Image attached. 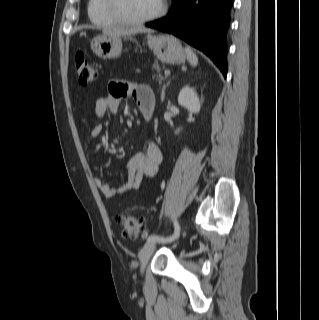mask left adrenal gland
Returning <instances> with one entry per match:
<instances>
[{
    "mask_svg": "<svg viewBox=\"0 0 319 320\" xmlns=\"http://www.w3.org/2000/svg\"><path fill=\"white\" fill-rule=\"evenodd\" d=\"M167 85H169V82L166 85H163V88H162V94H161V100L162 101L164 100V97H165V88H166Z\"/></svg>",
    "mask_w": 319,
    "mask_h": 320,
    "instance_id": "left-adrenal-gland-1",
    "label": "left adrenal gland"
}]
</instances>
